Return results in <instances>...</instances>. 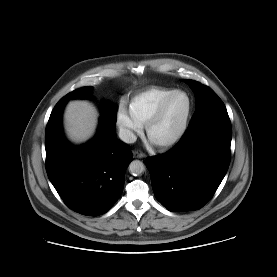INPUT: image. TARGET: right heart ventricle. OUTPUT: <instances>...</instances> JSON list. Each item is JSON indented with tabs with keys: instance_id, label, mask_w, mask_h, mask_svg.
Here are the masks:
<instances>
[{
	"instance_id": "1",
	"label": "right heart ventricle",
	"mask_w": 277,
	"mask_h": 277,
	"mask_svg": "<svg viewBox=\"0 0 277 277\" xmlns=\"http://www.w3.org/2000/svg\"><path fill=\"white\" fill-rule=\"evenodd\" d=\"M174 90L176 89L153 86L135 94L129 102L130 114L141 125H145L158 104Z\"/></svg>"
}]
</instances>
